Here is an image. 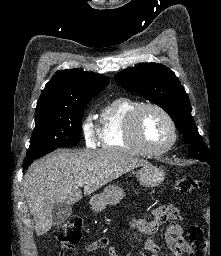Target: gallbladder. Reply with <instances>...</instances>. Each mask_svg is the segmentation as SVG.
<instances>
[{"instance_id":"1","label":"gallbladder","mask_w":221,"mask_h":256,"mask_svg":"<svg viewBox=\"0 0 221 256\" xmlns=\"http://www.w3.org/2000/svg\"><path fill=\"white\" fill-rule=\"evenodd\" d=\"M72 214V207L69 204L56 202L52 208L53 225L63 224Z\"/></svg>"}]
</instances>
